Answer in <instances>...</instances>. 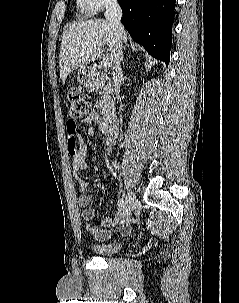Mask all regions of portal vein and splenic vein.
Returning <instances> with one entry per match:
<instances>
[{
  "label": "portal vein and splenic vein",
  "instance_id": "18ae733b",
  "mask_svg": "<svg viewBox=\"0 0 239 303\" xmlns=\"http://www.w3.org/2000/svg\"><path fill=\"white\" fill-rule=\"evenodd\" d=\"M102 64L105 68H107L110 67L112 63L109 57H105L102 61Z\"/></svg>",
  "mask_w": 239,
  "mask_h": 303
}]
</instances>
